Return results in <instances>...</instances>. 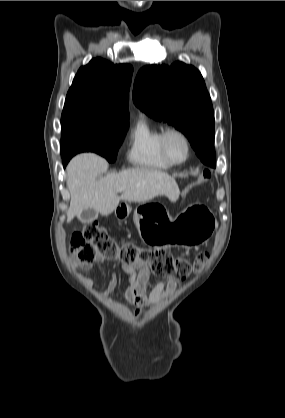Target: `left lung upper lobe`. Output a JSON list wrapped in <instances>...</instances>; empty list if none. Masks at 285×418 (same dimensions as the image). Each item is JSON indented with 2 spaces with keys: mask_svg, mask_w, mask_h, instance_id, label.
Segmentation results:
<instances>
[{
  "mask_svg": "<svg viewBox=\"0 0 285 418\" xmlns=\"http://www.w3.org/2000/svg\"><path fill=\"white\" fill-rule=\"evenodd\" d=\"M133 101L150 117L184 133L201 161L216 167L214 111L195 67L179 61L143 67L134 82Z\"/></svg>",
  "mask_w": 285,
  "mask_h": 418,
  "instance_id": "5c2ea615",
  "label": "left lung upper lobe"
}]
</instances>
